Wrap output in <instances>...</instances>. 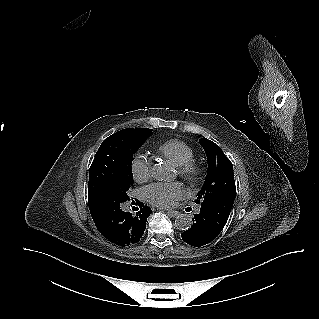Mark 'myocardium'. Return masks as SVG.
Masks as SVG:
<instances>
[{"label": "myocardium", "mask_w": 319, "mask_h": 319, "mask_svg": "<svg viewBox=\"0 0 319 319\" xmlns=\"http://www.w3.org/2000/svg\"><path fill=\"white\" fill-rule=\"evenodd\" d=\"M177 169L179 176L185 181L191 183L197 181L201 174L200 167L192 161L185 165L178 166Z\"/></svg>", "instance_id": "myocardium-1"}]
</instances>
